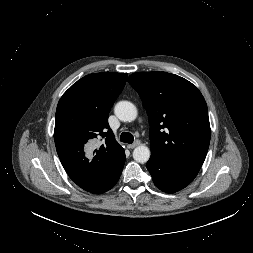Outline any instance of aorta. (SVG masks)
I'll return each mask as SVG.
<instances>
[{
	"mask_svg": "<svg viewBox=\"0 0 253 253\" xmlns=\"http://www.w3.org/2000/svg\"><path fill=\"white\" fill-rule=\"evenodd\" d=\"M115 115L124 122L134 121L137 117L135 105L129 101H120L115 105ZM133 158L136 162L146 163L150 158V149L145 145L137 146L133 151Z\"/></svg>",
	"mask_w": 253,
	"mask_h": 253,
	"instance_id": "762f6f07",
	"label": "aorta"
}]
</instances>
